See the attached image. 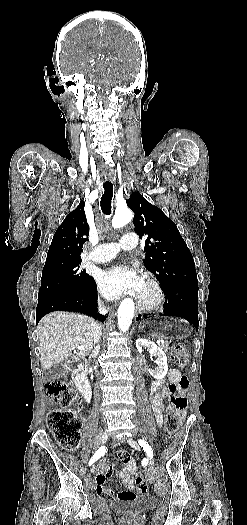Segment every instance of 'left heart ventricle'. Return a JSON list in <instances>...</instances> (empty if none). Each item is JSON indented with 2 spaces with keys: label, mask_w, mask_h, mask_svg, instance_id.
<instances>
[{
  "label": "left heart ventricle",
  "mask_w": 247,
  "mask_h": 525,
  "mask_svg": "<svg viewBox=\"0 0 247 525\" xmlns=\"http://www.w3.org/2000/svg\"><path fill=\"white\" fill-rule=\"evenodd\" d=\"M123 259L121 262V267L123 270L134 269L136 266V259L134 255L130 252L123 253ZM142 281V290L139 294L140 297L145 299H152L155 297V289L150 283L149 280L143 279Z\"/></svg>",
  "instance_id": "b2bd125f"
}]
</instances>
